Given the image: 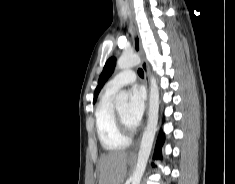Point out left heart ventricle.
Returning a JSON list of instances; mask_svg holds the SVG:
<instances>
[{"label":"left heart ventricle","mask_w":235,"mask_h":184,"mask_svg":"<svg viewBox=\"0 0 235 184\" xmlns=\"http://www.w3.org/2000/svg\"><path fill=\"white\" fill-rule=\"evenodd\" d=\"M117 112L120 114V116H121L122 120L124 121V123H125L127 126L131 127V126L129 125L128 121H127L128 106H122V107H120V108L117 110ZM131 128H133V127H131Z\"/></svg>","instance_id":"left-heart-ventricle-1"}]
</instances>
